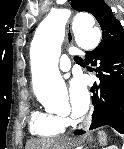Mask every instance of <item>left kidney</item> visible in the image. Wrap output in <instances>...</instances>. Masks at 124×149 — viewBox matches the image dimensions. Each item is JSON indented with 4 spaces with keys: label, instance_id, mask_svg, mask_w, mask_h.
<instances>
[{
    "label": "left kidney",
    "instance_id": "left-kidney-1",
    "mask_svg": "<svg viewBox=\"0 0 124 149\" xmlns=\"http://www.w3.org/2000/svg\"><path fill=\"white\" fill-rule=\"evenodd\" d=\"M106 149H118L115 145H112L110 147H107Z\"/></svg>",
    "mask_w": 124,
    "mask_h": 149
}]
</instances>
